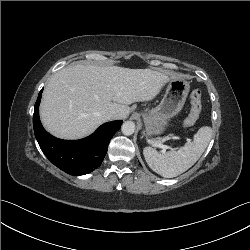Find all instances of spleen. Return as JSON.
I'll return each instance as SVG.
<instances>
[{"mask_svg": "<svg viewBox=\"0 0 250 250\" xmlns=\"http://www.w3.org/2000/svg\"><path fill=\"white\" fill-rule=\"evenodd\" d=\"M211 136V127L203 126L194 134L191 142L185 143L180 148L159 153L152 147H145L143 155L154 172L165 178H173L187 171L198 161L208 146Z\"/></svg>", "mask_w": 250, "mask_h": 250, "instance_id": "1", "label": "spleen"}]
</instances>
